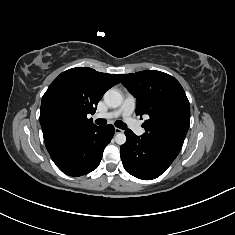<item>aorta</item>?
<instances>
[{"label":"aorta","instance_id":"aorta-1","mask_svg":"<svg viewBox=\"0 0 235 235\" xmlns=\"http://www.w3.org/2000/svg\"><path fill=\"white\" fill-rule=\"evenodd\" d=\"M123 98L120 92L116 89H109L104 94V102L110 108H117L122 104ZM115 142L118 145H123L126 142V136L124 133H118L115 136Z\"/></svg>","mask_w":235,"mask_h":235}]
</instances>
